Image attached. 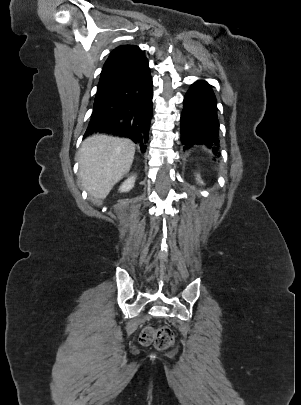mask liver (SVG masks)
<instances>
[{"instance_id": "liver-1", "label": "liver", "mask_w": 301, "mask_h": 405, "mask_svg": "<svg viewBox=\"0 0 301 405\" xmlns=\"http://www.w3.org/2000/svg\"><path fill=\"white\" fill-rule=\"evenodd\" d=\"M135 154L134 143L125 138L96 134L84 140L79 151L82 186L96 199L107 197L126 175Z\"/></svg>"}]
</instances>
